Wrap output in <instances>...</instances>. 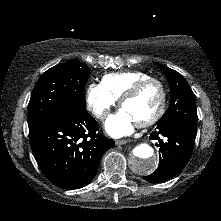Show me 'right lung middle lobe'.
<instances>
[{"instance_id":"right-lung-middle-lobe-1","label":"right lung middle lobe","mask_w":221,"mask_h":221,"mask_svg":"<svg viewBox=\"0 0 221 221\" xmlns=\"http://www.w3.org/2000/svg\"><path fill=\"white\" fill-rule=\"evenodd\" d=\"M90 69L79 61H68L47 70L37 81L29 104V129L58 119L73 108H85L84 86Z\"/></svg>"}]
</instances>
